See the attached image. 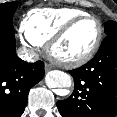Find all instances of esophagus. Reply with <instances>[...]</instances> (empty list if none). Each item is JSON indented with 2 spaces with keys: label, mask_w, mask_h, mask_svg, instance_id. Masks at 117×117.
Masks as SVG:
<instances>
[{
  "label": "esophagus",
  "mask_w": 117,
  "mask_h": 117,
  "mask_svg": "<svg viewBox=\"0 0 117 117\" xmlns=\"http://www.w3.org/2000/svg\"><path fill=\"white\" fill-rule=\"evenodd\" d=\"M51 69H52V66L50 64L46 63L45 64V71L47 72V71H49Z\"/></svg>",
  "instance_id": "esophagus-1"
}]
</instances>
